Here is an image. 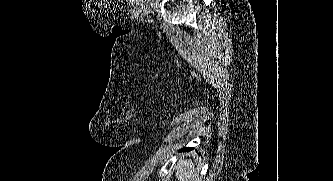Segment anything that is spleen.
Segmentation results:
<instances>
[{"label":"spleen","instance_id":"obj_1","mask_svg":"<svg viewBox=\"0 0 333 181\" xmlns=\"http://www.w3.org/2000/svg\"><path fill=\"white\" fill-rule=\"evenodd\" d=\"M176 168V177L179 181H194L198 172V169L191 159L179 160Z\"/></svg>","mask_w":333,"mask_h":181}]
</instances>
